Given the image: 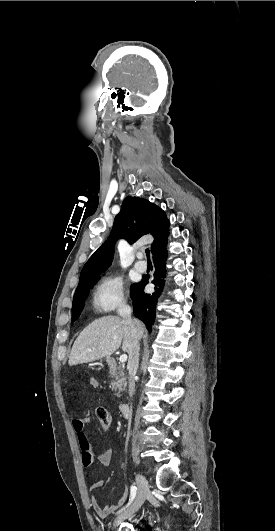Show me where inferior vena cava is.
<instances>
[{
  "instance_id": "1",
  "label": "inferior vena cava",
  "mask_w": 275,
  "mask_h": 531,
  "mask_svg": "<svg viewBox=\"0 0 275 531\" xmlns=\"http://www.w3.org/2000/svg\"><path fill=\"white\" fill-rule=\"evenodd\" d=\"M120 315L132 329L133 341L128 351L129 361L127 363V369L129 373V397H133L135 389V375L137 373L140 355V345L137 335L138 331L135 327L133 319H131V309L128 307V305H122L120 309Z\"/></svg>"
}]
</instances>
